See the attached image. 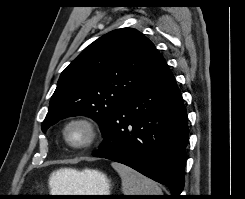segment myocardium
Here are the masks:
<instances>
[{
	"mask_svg": "<svg viewBox=\"0 0 245 199\" xmlns=\"http://www.w3.org/2000/svg\"><path fill=\"white\" fill-rule=\"evenodd\" d=\"M74 124L85 126L88 131V138L82 144H74L68 138V129ZM63 138L66 144L75 150H85L92 147L99 138V129L97 124L90 118L85 116H74L66 121L63 126Z\"/></svg>",
	"mask_w": 245,
	"mask_h": 199,
	"instance_id": "f54148a6",
	"label": "myocardium"
}]
</instances>
